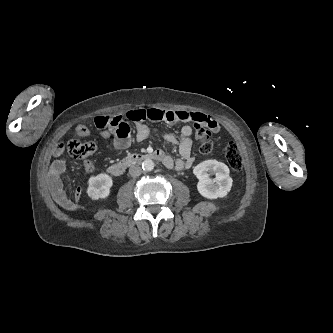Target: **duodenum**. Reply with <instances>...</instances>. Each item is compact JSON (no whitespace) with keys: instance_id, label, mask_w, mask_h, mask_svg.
I'll return each instance as SVG.
<instances>
[{"instance_id":"obj_1","label":"duodenum","mask_w":333,"mask_h":333,"mask_svg":"<svg viewBox=\"0 0 333 333\" xmlns=\"http://www.w3.org/2000/svg\"><path fill=\"white\" fill-rule=\"evenodd\" d=\"M156 160L161 163L166 162V156L160 151L148 152V153H133L127 155L122 160L112 163L108 167L109 173L115 176H121L125 173V171L132 165L141 163L145 160Z\"/></svg>"}]
</instances>
